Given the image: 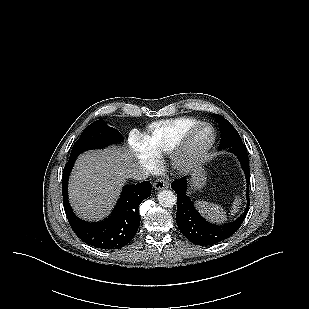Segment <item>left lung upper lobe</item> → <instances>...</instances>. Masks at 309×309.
Instances as JSON below:
<instances>
[{
  "label": "left lung upper lobe",
  "mask_w": 309,
  "mask_h": 309,
  "mask_svg": "<svg viewBox=\"0 0 309 309\" xmlns=\"http://www.w3.org/2000/svg\"><path fill=\"white\" fill-rule=\"evenodd\" d=\"M213 117L219 123V128L221 131V141L219 149L243 144L238 132L228 120L218 114H214Z\"/></svg>",
  "instance_id": "1"
}]
</instances>
